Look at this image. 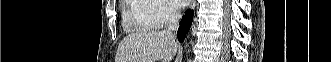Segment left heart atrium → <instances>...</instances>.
Segmentation results:
<instances>
[{
    "instance_id": "39dd6f15",
    "label": "left heart atrium",
    "mask_w": 331,
    "mask_h": 62,
    "mask_svg": "<svg viewBox=\"0 0 331 62\" xmlns=\"http://www.w3.org/2000/svg\"><path fill=\"white\" fill-rule=\"evenodd\" d=\"M189 0H172V2L177 6V7H184L187 5Z\"/></svg>"
}]
</instances>
